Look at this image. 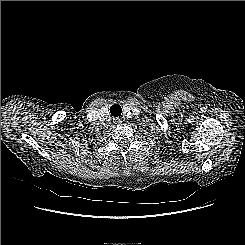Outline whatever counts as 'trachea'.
<instances>
[{
	"mask_svg": "<svg viewBox=\"0 0 245 245\" xmlns=\"http://www.w3.org/2000/svg\"><path fill=\"white\" fill-rule=\"evenodd\" d=\"M110 112L114 117H118L121 115L122 108L118 104H114L110 107Z\"/></svg>",
	"mask_w": 245,
	"mask_h": 245,
	"instance_id": "trachea-1",
	"label": "trachea"
}]
</instances>
